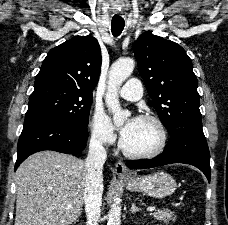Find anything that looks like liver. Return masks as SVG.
I'll use <instances>...</instances> for the list:
<instances>
[{"label": "liver", "mask_w": 228, "mask_h": 225, "mask_svg": "<svg viewBox=\"0 0 228 225\" xmlns=\"http://www.w3.org/2000/svg\"><path fill=\"white\" fill-rule=\"evenodd\" d=\"M15 177L14 225H72L80 217L85 161L55 151H41L28 157Z\"/></svg>", "instance_id": "6515ba94"}]
</instances>
